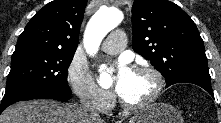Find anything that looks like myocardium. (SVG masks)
Segmentation results:
<instances>
[{"instance_id": "f54148a6", "label": "myocardium", "mask_w": 221, "mask_h": 123, "mask_svg": "<svg viewBox=\"0 0 221 123\" xmlns=\"http://www.w3.org/2000/svg\"><path fill=\"white\" fill-rule=\"evenodd\" d=\"M134 71L149 74L155 82V88L152 94L140 103H129L124 100L119 93L116 94L117 100L122 108L129 111L142 110L155 103L161 96L164 89V78L159 70L149 64H140L135 67Z\"/></svg>"}]
</instances>
